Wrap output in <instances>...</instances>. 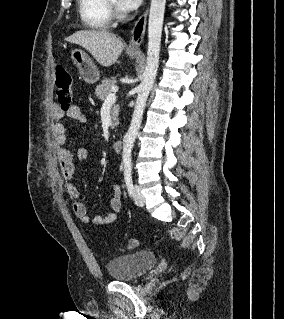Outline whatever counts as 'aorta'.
I'll return each mask as SVG.
<instances>
[{"label":"aorta","mask_w":284,"mask_h":319,"mask_svg":"<svg viewBox=\"0 0 284 319\" xmlns=\"http://www.w3.org/2000/svg\"><path fill=\"white\" fill-rule=\"evenodd\" d=\"M165 5L166 0H151L146 66L142 75V81L138 87V95L131 124L125 138L122 153L124 160L131 158L132 148L140 129L146 102L157 75Z\"/></svg>","instance_id":"1"}]
</instances>
